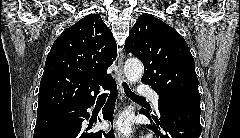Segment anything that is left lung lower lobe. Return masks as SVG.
Masks as SVG:
<instances>
[{
	"mask_svg": "<svg viewBox=\"0 0 240 138\" xmlns=\"http://www.w3.org/2000/svg\"><path fill=\"white\" fill-rule=\"evenodd\" d=\"M159 119L151 116L147 111L140 113L154 120L151 129L160 138H199L200 98L196 96H182L158 101ZM150 127V126H148ZM161 128L162 132L159 130Z\"/></svg>",
	"mask_w": 240,
	"mask_h": 138,
	"instance_id": "obj_1",
	"label": "left lung lower lobe"
}]
</instances>
